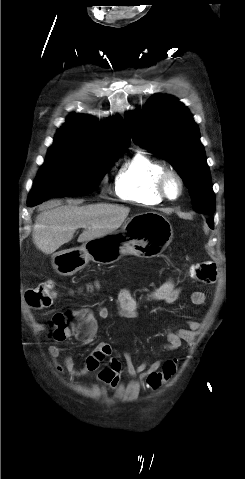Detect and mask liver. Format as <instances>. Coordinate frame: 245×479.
Masks as SVG:
<instances>
[{
	"mask_svg": "<svg viewBox=\"0 0 245 479\" xmlns=\"http://www.w3.org/2000/svg\"><path fill=\"white\" fill-rule=\"evenodd\" d=\"M129 212L128 207L108 203L57 206L36 217L33 241L42 252L52 254L71 241L79 228H84V231L78 237V242H87L115 232Z\"/></svg>",
	"mask_w": 245,
	"mask_h": 479,
	"instance_id": "liver-1",
	"label": "liver"
}]
</instances>
